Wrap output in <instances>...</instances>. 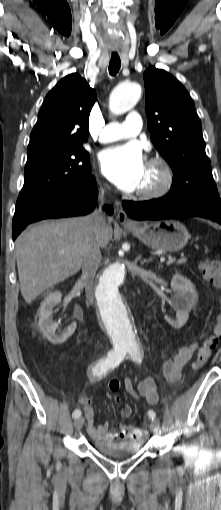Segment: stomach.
I'll list each match as a JSON object with an SVG mask.
<instances>
[{
  "label": "stomach",
  "instance_id": "stomach-1",
  "mask_svg": "<svg viewBox=\"0 0 221 510\" xmlns=\"http://www.w3.org/2000/svg\"><path fill=\"white\" fill-rule=\"evenodd\" d=\"M127 229L145 245L161 251H179L189 239L188 230L177 220L155 221Z\"/></svg>",
  "mask_w": 221,
  "mask_h": 510
}]
</instances>
